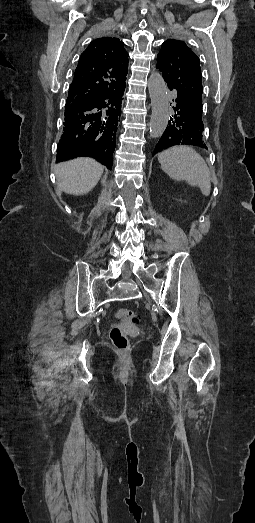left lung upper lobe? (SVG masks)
Returning <instances> with one entry per match:
<instances>
[{
  "label": "left lung upper lobe",
  "instance_id": "5c2ea615",
  "mask_svg": "<svg viewBox=\"0 0 255 523\" xmlns=\"http://www.w3.org/2000/svg\"><path fill=\"white\" fill-rule=\"evenodd\" d=\"M157 68L162 72L168 87L180 93V99L183 102L193 106L197 118H204L201 95L203 93L202 76L198 56L183 41L169 39L162 44L157 56ZM174 114H176L175 111Z\"/></svg>",
  "mask_w": 255,
  "mask_h": 523
}]
</instances>
